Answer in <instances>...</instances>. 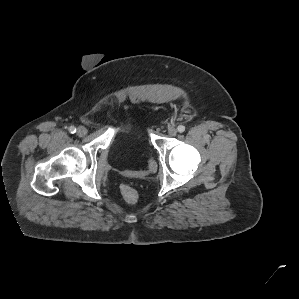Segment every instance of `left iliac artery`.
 <instances>
[{"mask_svg":"<svg viewBox=\"0 0 299 299\" xmlns=\"http://www.w3.org/2000/svg\"><path fill=\"white\" fill-rule=\"evenodd\" d=\"M177 129H178V131H179L180 133H183V132L185 131V126H183V125H179V126L177 127Z\"/></svg>","mask_w":299,"mask_h":299,"instance_id":"left-iliac-artery-1","label":"left iliac artery"}]
</instances>
